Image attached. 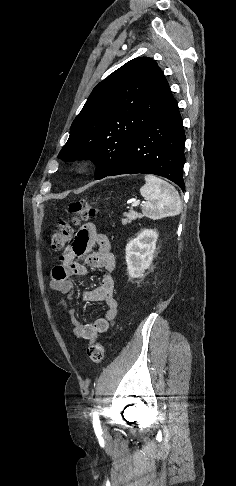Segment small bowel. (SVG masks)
Here are the masks:
<instances>
[{"label":"small bowel","mask_w":236,"mask_h":486,"mask_svg":"<svg viewBox=\"0 0 236 486\" xmlns=\"http://www.w3.org/2000/svg\"><path fill=\"white\" fill-rule=\"evenodd\" d=\"M95 244L98 250L91 252ZM87 265L107 272L115 268V258L111 253L109 239L105 234L98 233L92 222L85 223L78 231L74 242L64 249L59 257V264L52 269L50 282L51 288L63 295L61 305L71 318L74 335L92 342L109 331L117 316L118 303L114 297L113 277L106 275L98 287L82 294L86 302H102L105 305L103 316L88 324L76 318V310L72 306L74 285L71 279L86 276Z\"/></svg>","instance_id":"c3829d8e"}]
</instances>
